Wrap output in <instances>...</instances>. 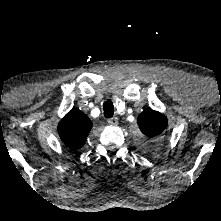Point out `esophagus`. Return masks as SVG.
<instances>
[{
	"instance_id": "1",
	"label": "esophagus",
	"mask_w": 221,
	"mask_h": 221,
	"mask_svg": "<svg viewBox=\"0 0 221 221\" xmlns=\"http://www.w3.org/2000/svg\"><path fill=\"white\" fill-rule=\"evenodd\" d=\"M108 123L110 125H117L118 124V118L117 117H112V118L108 119Z\"/></svg>"
}]
</instances>
